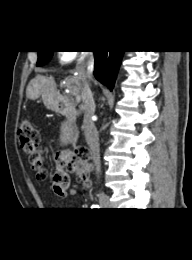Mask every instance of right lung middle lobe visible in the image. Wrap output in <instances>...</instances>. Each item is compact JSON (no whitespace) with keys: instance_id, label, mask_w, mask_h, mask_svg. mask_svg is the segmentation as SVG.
Listing matches in <instances>:
<instances>
[{"instance_id":"1","label":"right lung middle lobe","mask_w":192,"mask_h":260,"mask_svg":"<svg viewBox=\"0 0 192 260\" xmlns=\"http://www.w3.org/2000/svg\"><path fill=\"white\" fill-rule=\"evenodd\" d=\"M53 55V51H38L37 66H43L48 63Z\"/></svg>"}]
</instances>
